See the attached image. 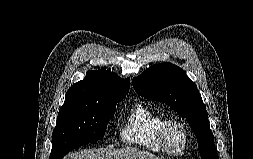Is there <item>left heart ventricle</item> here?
<instances>
[{"mask_svg":"<svg viewBox=\"0 0 253 159\" xmlns=\"http://www.w3.org/2000/svg\"><path fill=\"white\" fill-rule=\"evenodd\" d=\"M166 141L171 150L179 151L183 146L181 130L177 126L171 125L167 131Z\"/></svg>","mask_w":253,"mask_h":159,"instance_id":"1","label":"left heart ventricle"}]
</instances>
